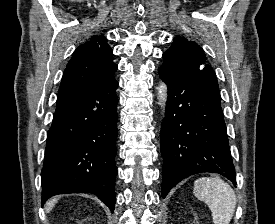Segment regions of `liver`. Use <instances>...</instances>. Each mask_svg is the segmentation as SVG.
<instances>
[{
	"mask_svg": "<svg viewBox=\"0 0 275 224\" xmlns=\"http://www.w3.org/2000/svg\"><path fill=\"white\" fill-rule=\"evenodd\" d=\"M56 200H51L49 202H47L46 204V211H50L52 209V207L54 206Z\"/></svg>",
	"mask_w": 275,
	"mask_h": 224,
	"instance_id": "1",
	"label": "liver"
}]
</instances>
